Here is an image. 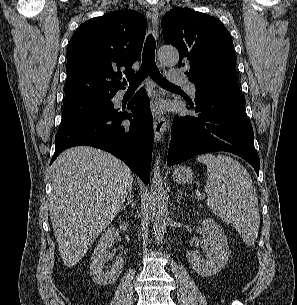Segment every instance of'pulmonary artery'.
Returning a JSON list of instances; mask_svg holds the SVG:
<instances>
[{
	"label": "pulmonary artery",
	"mask_w": 297,
	"mask_h": 305,
	"mask_svg": "<svg viewBox=\"0 0 297 305\" xmlns=\"http://www.w3.org/2000/svg\"><path fill=\"white\" fill-rule=\"evenodd\" d=\"M170 81L176 84H182L188 90V93L194 97L196 95V87L195 85L188 81L179 71H172L170 74Z\"/></svg>",
	"instance_id": "1"
}]
</instances>
